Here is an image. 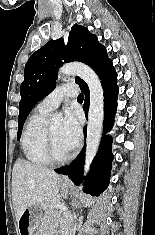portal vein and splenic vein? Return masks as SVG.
<instances>
[{
    "label": "portal vein and splenic vein",
    "instance_id": "obj_1",
    "mask_svg": "<svg viewBox=\"0 0 155 235\" xmlns=\"http://www.w3.org/2000/svg\"><path fill=\"white\" fill-rule=\"evenodd\" d=\"M56 208H57V209H60V210H63V211H66V210H67V207L64 206V205H61V204H58Z\"/></svg>",
    "mask_w": 155,
    "mask_h": 235
}]
</instances>
